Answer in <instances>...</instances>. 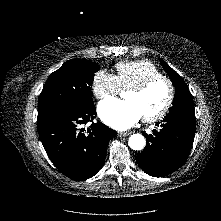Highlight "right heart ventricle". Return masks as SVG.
<instances>
[{
	"label": "right heart ventricle",
	"instance_id": "e07e8e85",
	"mask_svg": "<svg viewBox=\"0 0 221 221\" xmlns=\"http://www.w3.org/2000/svg\"><path fill=\"white\" fill-rule=\"evenodd\" d=\"M116 77L123 89H130L145 80L162 75L150 61H123L115 65Z\"/></svg>",
	"mask_w": 221,
	"mask_h": 221
}]
</instances>
